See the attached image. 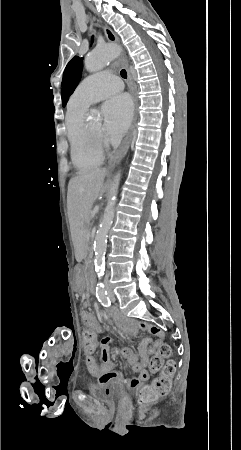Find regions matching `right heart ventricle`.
I'll list each match as a JSON object with an SVG mask.
<instances>
[{"label": "right heart ventricle", "mask_w": 241, "mask_h": 450, "mask_svg": "<svg viewBox=\"0 0 241 450\" xmlns=\"http://www.w3.org/2000/svg\"><path fill=\"white\" fill-rule=\"evenodd\" d=\"M87 107L88 104L84 102L71 100L68 105L65 119L66 132L71 149V158L74 165L79 169L99 166L103 161V157L95 156L98 149H81V144L84 143L78 141L80 136H84L82 131L86 129L87 124H90V121L86 122L84 120V114Z\"/></svg>", "instance_id": "1"}]
</instances>
